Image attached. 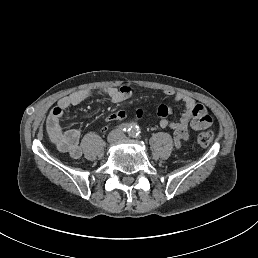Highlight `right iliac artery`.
<instances>
[{
	"mask_svg": "<svg viewBox=\"0 0 258 258\" xmlns=\"http://www.w3.org/2000/svg\"><path fill=\"white\" fill-rule=\"evenodd\" d=\"M132 123H125L117 126V129L122 131H130L132 129Z\"/></svg>",
	"mask_w": 258,
	"mask_h": 258,
	"instance_id": "82829eb1",
	"label": "right iliac artery"
}]
</instances>
